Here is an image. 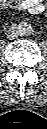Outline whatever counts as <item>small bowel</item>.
Listing matches in <instances>:
<instances>
[{
  "mask_svg": "<svg viewBox=\"0 0 47 129\" xmlns=\"http://www.w3.org/2000/svg\"><path fill=\"white\" fill-rule=\"evenodd\" d=\"M2 5L7 7L14 5L16 8L21 10H27L32 14H39L44 11L45 5L43 0H1Z\"/></svg>",
  "mask_w": 47,
  "mask_h": 129,
  "instance_id": "obj_1",
  "label": "small bowel"
}]
</instances>
